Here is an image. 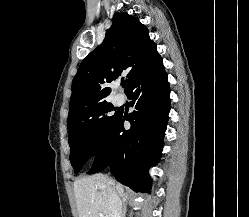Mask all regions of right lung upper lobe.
Returning a JSON list of instances; mask_svg holds the SVG:
<instances>
[{"label":"right lung upper lobe","instance_id":"1","mask_svg":"<svg viewBox=\"0 0 249 217\" xmlns=\"http://www.w3.org/2000/svg\"><path fill=\"white\" fill-rule=\"evenodd\" d=\"M112 21L102 44L81 62L73 79L68 118L106 102L111 93L106 84L123 73L127 74V92L158 55L148 28L138 18L117 13Z\"/></svg>","mask_w":249,"mask_h":217}]
</instances>
